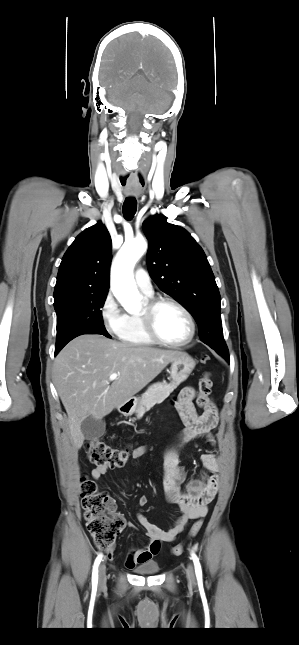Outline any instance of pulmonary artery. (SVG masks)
Instances as JSON below:
<instances>
[{"label":"pulmonary artery","instance_id":"pulmonary-artery-1","mask_svg":"<svg viewBox=\"0 0 299 645\" xmlns=\"http://www.w3.org/2000/svg\"><path fill=\"white\" fill-rule=\"evenodd\" d=\"M135 281L137 286L140 288V290L145 293L146 295H152L153 294V288H152V283L151 279L148 275V273L142 269L139 268L135 272Z\"/></svg>","mask_w":299,"mask_h":645}]
</instances>
